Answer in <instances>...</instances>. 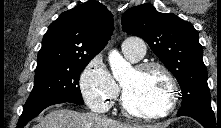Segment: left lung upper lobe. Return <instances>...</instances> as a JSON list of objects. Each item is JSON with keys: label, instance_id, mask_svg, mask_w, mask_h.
Here are the masks:
<instances>
[{"label": "left lung upper lobe", "instance_id": "obj_1", "mask_svg": "<svg viewBox=\"0 0 221 128\" xmlns=\"http://www.w3.org/2000/svg\"><path fill=\"white\" fill-rule=\"evenodd\" d=\"M121 23L127 34L143 38L176 77L182 90L178 113L212 112L203 49L191 23L172 13H159L151 4L126 10Z\"/></svg>", "mask_w": 221, "mask_h": 128}]
</instances>
